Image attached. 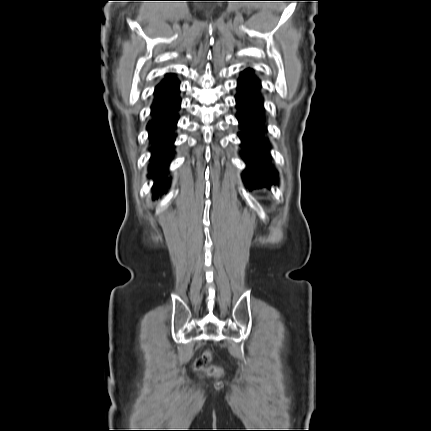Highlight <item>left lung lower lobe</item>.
<instances>
[{
    "instance_id": "obj_1",
    "label": "left lung lower lobe",
    "mask_w": 431,
    "mask_h": 431,
    "mask_svg": "<svg viewBox=\"0 0 431 431\" xmlns=\"http://www.w3.org/2000/svg\"><path fill=\"white\" fill-rule=\"evenodd\" d=\"M259 87L260 82L250 69H246L237 82L236 118L241 130L238 136L242 146L240 154L246 163L243 180L250 190L278 182L277 172L270 160V145L265 137V116Z\"/></svg>"
}]
</instances>
